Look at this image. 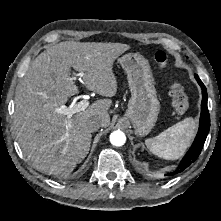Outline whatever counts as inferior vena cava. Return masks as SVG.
Here are the masks:
<instances>
[{"instance_id": "1", "label": "inferior vena cava", "mask_w": 221, "mask_h": 221, "mask_svg": "<svg viewBox=\"0 0 221 221\" xmlns=\"http://www.w3.org/2000/svg\"><path fill=\"white\" fill-rule=\"evenodd\" d=\"M102 126V121L99 117H94L88 120L87 127L90 132L97 131Z\"/></svg>"}]
</instances>
